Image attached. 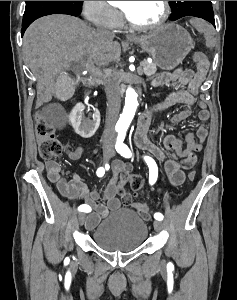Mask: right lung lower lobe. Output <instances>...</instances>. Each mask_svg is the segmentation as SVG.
<instances>
[{"label":"right lung lower lobe","instance_id":"98d812e1","mask_svg":"<svg viewBox=\"0 0 237 300\" xmlns=\"http://www.w3.org/2000/svg\"><path fill=\"white\" fill-rule=\"evenodd\" d=\"M81 11H76V10H61V11H55V12H51L48 13L46 15H50V14H68V15H72V16H78L80 15ZM45 16V15H44ZM42 17V16H41ZM37 19V18H36ZM34 19V20H36ZM34 20H30V21H23L22 22V31L21 34L23 35L25 30L27 29V27L34 21Z\"/></svg>","mask_w":237,"mask_h":300}]
</instances>
